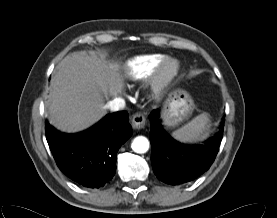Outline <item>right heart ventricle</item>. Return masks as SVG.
<instances>
[{
  "label": "right heart ventricle",
  "instance_id": "right-heart-ventricle-1",
  "mask_svg": "<svg viewBox=\"0 0 277 218\" xmlns=\"http://www.w3.org/2000/svg\"><path fill=\"white\" fill-rule=\"evenodd\" d=\"M167 56L163 54H146L131 58L126 65V76L132 81H144L148 79L155 68Z\"/></svg>",
  "mask_w": 277,
  "mask_h": 218
}]
</instances>
